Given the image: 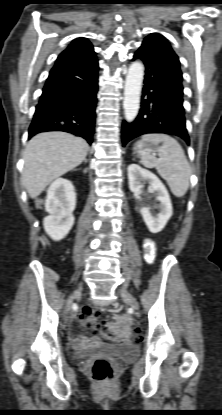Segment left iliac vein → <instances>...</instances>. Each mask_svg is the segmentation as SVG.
I'll list each match as a JSON object with an SVG mask.
<instances>
[{
    "label": "left iliac vein",
    "mask_w": 222,
    "mask_h": 415,
    "mask_svg": "<svg viewBox=\"0 0 222 415\" xmlns=\"http://www.w3.org/2000/svg\"><path fill=\"white\" fill-rule=\"evenodd\" d=\"M120 296L122 297V299L128 304L130 305L131 308H133L135 311L139 310V303L138 301L135 299V297L127 290V288L125 286H123L120 289Z\"/></svg>",
    "instance_id": "1"
}]
</instances>
